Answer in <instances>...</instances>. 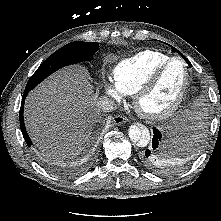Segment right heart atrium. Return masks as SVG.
I'll list each match as a JSON object with an SVG mask.
<instances>
[{"instance_id":"obj_1","label":"right heart atrium","mask_w":221,"mask_h":221,"mask_svg":"<svg viewBox=\"0 0 221 221\" xmlns=\"http://www.w3.org/2000/svg\"><path fill=\"white\" fill-rule=\"evenodd\" d=\"M103 90L106 96L116 102L122 101L125 96V93L113 80H105L103 82Z\"/></svg>"}]
</instances>
